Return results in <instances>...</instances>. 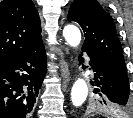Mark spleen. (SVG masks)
I'll use <instances>...</instances> for the list:
<instances>
[{
    "instance_id": "spleen-1",
    "label": "spleen",
    "mask_w": 133,
    "mask_h": 118,
    "mask_svg": "<svg viewBox=\"0 0 133 118\" xmlns=\"http://www.w3.org/2000/svg\"><path fill=\"white\" fill-rule=\"evenodd\" d=\"M123 116H125V115L122 113L118 114V118H124Z\"/></svg>"
}]
</instances>
